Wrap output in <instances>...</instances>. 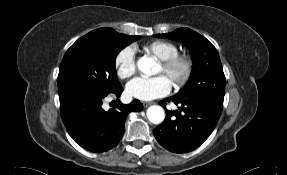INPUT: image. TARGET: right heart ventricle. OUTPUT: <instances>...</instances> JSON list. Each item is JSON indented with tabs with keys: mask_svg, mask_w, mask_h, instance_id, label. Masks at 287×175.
Instances as JSON below:
<instances>
[{
	"mask_svg": "<svg viewBox=\"0 0 287 175\" xmlns=\"http://www.w3.org/2000/svg\"><path fill=\"white\" fill-rule=\"evenodd\" d=\"M143 49L157 59H166L179 53V47L167 40H155L143 46Z\"/></svg>",
	"mask_w": 287,
	"mask_h": 175,
	"instance_id": "right-heart-ventricle-1",
	"label": "right heart ventricle"
}]
</instances>
